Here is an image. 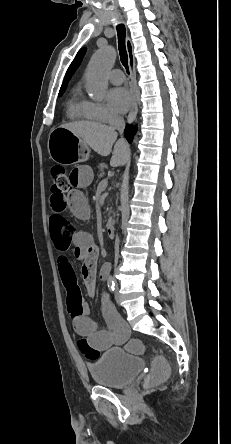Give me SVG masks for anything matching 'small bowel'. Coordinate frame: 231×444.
<instances>
[{
  "label": "small bowel",
  "instance_id": "obj_1",
  "mask_svg": "<svg viewBox=\"0 0 231 444\" xmlns=\"http://www.w3.org/2000/svg\"><path fill=\"white\" fill-rule=\"evenodd\" d=\"M93 170L88 165H78L68 175L70 193L62 198L51 196L49 230L54 247L58 252V269L67 292L68 312L75 332L87 339L91 347L103 351L112 346L123 344L130 335L127 324L116 314L105 300L104 311L109 328L99 330L96 321L89 316V307L82 299L74 268L67 257L72 247V255L82 262L81 273L88 293H95L96 263L98 248L91 235L84 231H75L72 224L63 216L69 209L76 217L87 219L90 206L81 189L93 181ZM104 267L102 272H107Z\"/></svg>",
  "mask_w": 231,
  "mask_h": 444
}]
</instances>
